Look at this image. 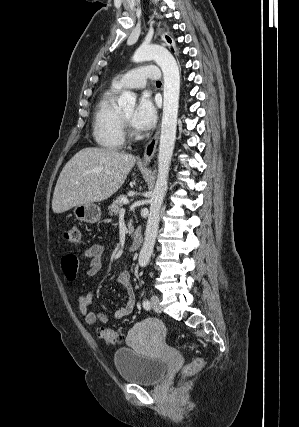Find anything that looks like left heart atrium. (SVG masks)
Segmentation results:
<instances>
[{
	"label": "left heart atrium",
	"instance_id": "39dd6f15",
	"mask_svg": "<svg viewBox=\"0 0 299 427\" xmlns=\"http://www.w3.org/2000/svg\"><path fill=\"white\" fill-rule=\"evenodd\" d=\"M156 119L157 111L152 100L148 96H142L132 115V125L140 131H147L154 126Z\"/></svg>",
	"mask_w": 299,
	"mask_h": 427
}]
</instances>
